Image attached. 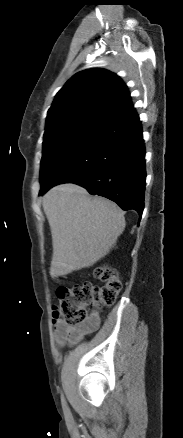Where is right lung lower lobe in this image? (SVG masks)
<instances>
[{
  "instance_id": "right-lung-lower-lobe-1",
  "label": "right lung lower lobe",
  "mask_w": 183,
  "mask_h": 438,
  "mask_svg": "<svg viewBox=\"0 0 183 438\" xmlns=\"http://www.w3.org/2000/svg\"><path fill=\"white\" fill-rule=\"evenodd\" d=\"M145 147L134 108L100 125L90 140L39 195L60 183H76L93 195L142 215L145 192Z\"/></svg>"
}]
</instances>
